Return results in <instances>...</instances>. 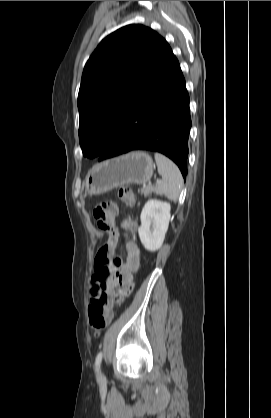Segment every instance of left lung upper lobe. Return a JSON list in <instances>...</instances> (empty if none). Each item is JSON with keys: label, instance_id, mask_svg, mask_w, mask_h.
<instances>
[{"label": "left lung upper lobe", "instance_id": "left-lung-upper-lobe-1", "mask_svg": "<svg viewBox=\"0 0 271 418\" xmlns=\"http://www.w3.org/2000/svg\"><path fill=\"white\" fill-rule=\"evenodd\" d=\"M172 50L142 25H127L101 41L87 61L78 94L83 155L100 156Z\"/></svg>", "mask_w": 271, "mask_h": 418}]
</instances>
